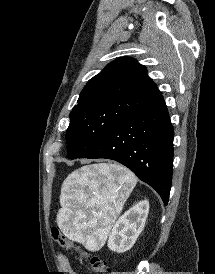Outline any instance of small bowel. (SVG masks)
<instances>
[{
    "mask_svg": "<svg viewBox=\"0 0 215 274\" xmlns=\"http://www.w3.org/2000/svg\"><path fill=\"white\" fill-rule=\"evenodd\" d=\"M60 262L64 270L72 272L68 259L65 256L60 257ZM72 274H77L73 272Z\"/></svg>",
    "mask_w": 215,
    "mask_h": 274,
    "instance_id": "c3829d8e",
    "label": "small bowel"
}]
</instances>
